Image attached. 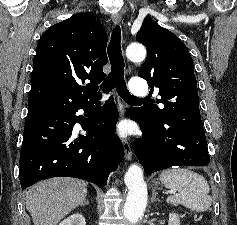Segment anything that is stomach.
<instances>
[{
  "mask_svg": "<svg viewBox=\"0 0 237 225\" xmlns=\"http://www.w3.org/2000/svg\"><path fill=\"white\" fill-rule=\"evenodd\" d=\"M154 185H155V188H158V189H159L160 182H159V181H154Z\"/></svg>",
  "mask_w": 237,
  "mask_h": 225,
  "instance_id": "stomach-1",
  "label": "stomach"
}]
</instances>
